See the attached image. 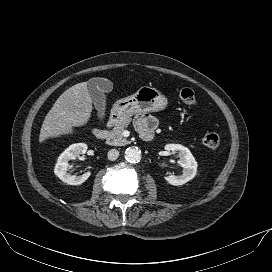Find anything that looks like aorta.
Masks as SVG:
<instances>
[{
	"instance_id": "762f6f07",
	"label": "aorta",
	"mask_w": 272,
	"mask_h": 272,
	"mask_svg": "<svg viewBox=\"0 0 272 272\" xmlns=\"http://www.w3.org/2000/svg\"><path fill=\"white\" fill-rule=\"evenodd\" d=\"M125 159L130 163H138L141 160V151L137 148L129 147L125 151Z\"/></svg>"
}]
</instances>
